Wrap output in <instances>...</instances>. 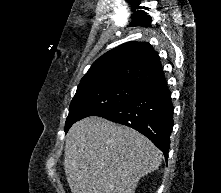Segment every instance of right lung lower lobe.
Masks as SVG:
<instances>
[{"label": "right lung lower lobe", "instance_id": "right-lung-lower-lobe-1", "mask_svg": "<svg viewBox=\"0 0 221 193\" xmlns=\"http://www.w3.org/2000/svg\"><path fill=\"white\" fill-rule=\"evenodd\" d=\"M97 116L139 131L163 152L167 160L173 104L165 77L143 85L133 98Z\"/></svg>", "mask_w": 221, "mask_h": 193}]
</instances>
